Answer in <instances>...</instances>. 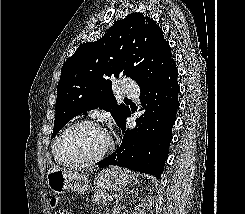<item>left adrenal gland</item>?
<instances>
[{"label":"left adrenal gland","instance_id":"left-adrenal-gland-1","mask_svg":"<svg viewBox=\"0 0 245 214\" xmlns=\"http://www.w3.org/2000/svg\"><path fill=\"white\" fill-rule=\"evenodd\" d=\"M126 191H128V188L125 189L124 191H121V192L119 193L118 197H117L116 200H115V204H116V205H117V204L119 203V201L122 199L123 194H124Z\"/></svg>","mask_w":245,"mask_h":214}]
</instances>
